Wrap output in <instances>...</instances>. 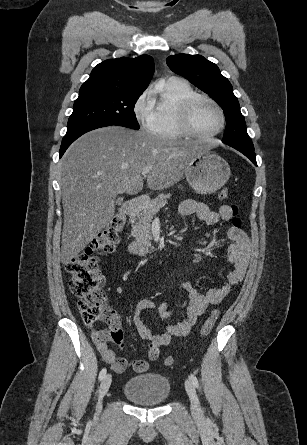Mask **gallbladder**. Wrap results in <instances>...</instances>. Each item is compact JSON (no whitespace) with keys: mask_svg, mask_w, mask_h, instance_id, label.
Instances as JSON below:
<instances>
[{"mask_svg":"<svg viewBox=\"0 0 307 445\" xmlns=\"http://www.w3.org/2000/svg\"><path fill=\"white\" fill-rule=\"evenodd\" d=\"M115 203H116V204H115V207H118V206L123 205L124 200H123V198L118 197V198H116Z\"/></svg>","mask_w":307,"mask_h":445,"instance_id":"bac80fb5","label":"gallbladder"}]
</instances>
